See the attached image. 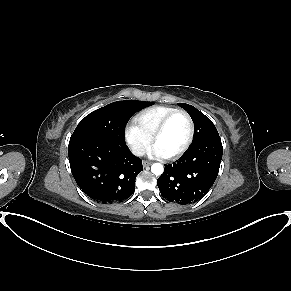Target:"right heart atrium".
Masks as SVG:
<instances>
[{
  "label": "right heart atrium",
  "instance_id": "1",
  "mask_svg": "<svg viewBox=\"0 0 291 291\" xmlns=\"http://www.w3.org/2000/svg\"><path fill=\"white\" fill-rule=\"evenodd\" d=\"M124 135L127 144L136 156H141L151 143V137L135 123L127 125Z\"/></svg>",
  "mask_w": 291,
  "mask_h": 291
}]
</instances>
